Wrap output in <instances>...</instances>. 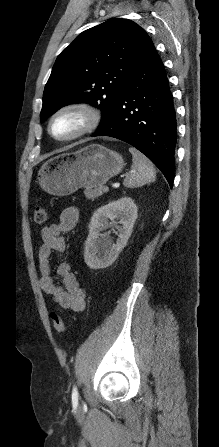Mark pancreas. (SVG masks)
Here are the masks:
<instances>
[{
	"instance_id": "1",
	"label": "pancreas",
	"mask_w": 219,
	"mask_h": 447,
	"mask_svg": "<svg viewBox=\"0 0 219 447\" xmlns=\"http://www.w3.org/2000/svg\"><path fill=\"white\" fill-rule=\"evenodd\" d=\"M84 194H85L87 199L94 200V199L98 198L99 196H101L103 194V192H102V188L101 187H97V188H94V189L87 188L84 191Z\"/></svg>"
}]
</instances>
